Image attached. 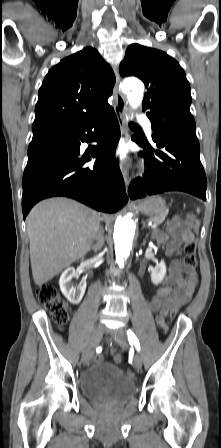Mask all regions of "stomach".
<instances>
[{
  "label": "stomach",
  "mask_w": 221,
  "mask_h": 448,
  "mask_svg": "<svg viewBox=\"0 0 221 448\" xmlns=\"http://www.w3.org/2000/svg\"><path fill=\"white\" fill-rule=\"evenodd\" d=\"M134 208L150 217L159 216L167 213V207L164 199L159 196H151L134 205Z\"/></svg>",
  "instance_id": "obj_1"
}]
</instances>
